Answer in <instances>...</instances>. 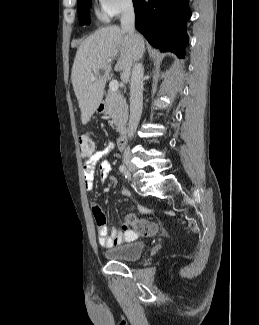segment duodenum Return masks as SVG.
Masks as SVG:
<instances>
[{
	"mask_svg": "<svg viewBox=\"0 0 259 325\" xmlns=\"http://www.w3.org/2000/svg\"><path fill=\"white\" fill-rule=\"evenodd\" d=\"M101 108H104V103L101 104ZM128 136L126 132H123L117 140V147L119 150H123L127 144Z\"/></svg>",
	"mask_w": 259,
	"mask_h": 325,
	"instance_id": "duodenum-1",
	"label": "duodenum"
}]
</instances>
